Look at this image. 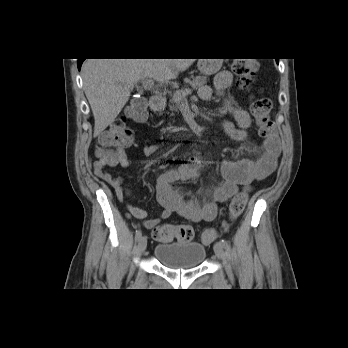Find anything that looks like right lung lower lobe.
Instances as JSON below:
<instances>
[{
  "label": "right lung lower lobe",
  "instance_id": "obj_1",
  "mask_svg": "<svg viewBox=\"0 0 348 348\" xmlns=\"http://www.w3.org/2000/svg\"><path fill=\"white\" fill-rule=\"evenodd\" d=\"M84 61V59H79L78 60V69L80 70L82 62Z\"/></svg>",
  "mask_w": 348,
  "mask_h": 348
}]
</instances>
